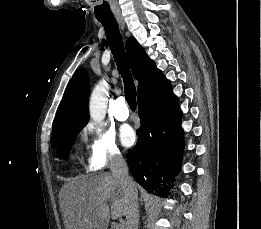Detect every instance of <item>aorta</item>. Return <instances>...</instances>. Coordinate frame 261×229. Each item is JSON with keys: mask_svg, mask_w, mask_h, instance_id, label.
Returning a JSON list of instances; mask_svg holds the SVG:
<instances>
[{"mask_svg": "<svg viewBox=\"0 0 261 229\" xmlns=\"http://www.w3.org/2000/svg\"><path fill=\"white\" fill-rule=\"evenodd\" d=\"M108 84L106 80H99L95 88H93L89 100L90 117L94 123H101L104 121L107 112L108 98L107 94Z\"/></svg>", "mask_w": 261, "mask_h": 229, "instance_id": "762f6f07", "label": "aorta"}]
</instances>
